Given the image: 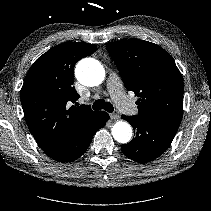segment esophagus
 <instances>
[{"instance_id": "1", "label": "esophagus", "mask_w": 211, "mask_h": 211, "mask_svg": "<svg viewBox=\"0 0 211 211\" xmlns=\"http://www.w3.org/2000/svg\"><path fill=\"white\" fill-rule=\"evenodd\" d=\"M110 118L112 120H119L120 119V116L118 114H116V113H112V114H110Z\"/></svg>"}]
</instances>
